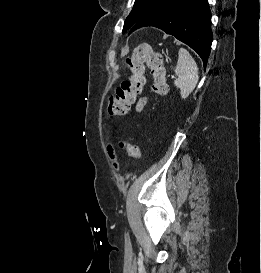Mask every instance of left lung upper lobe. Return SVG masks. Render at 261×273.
<instances>
[{
    "label": "left lung upper lobe",
    "mask_w": 261,
    "mask_h": 273,
    "mask_svg": "<svg viewBox=\"0 0 261 273\" xmlns=\"http://www.w3.org/2000/svg\"><path fill=\"white\" fill-rule=\"evenodd\" d=\"M168 1L169 0H135L134 7L125 20L123 33L129 30L133 25H135L154 9Z\"/></svg>",
    "instance_id": "5c2ea615"
}]
</instances>
